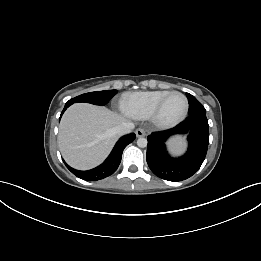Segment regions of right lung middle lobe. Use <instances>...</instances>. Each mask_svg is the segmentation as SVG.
<instances>
[{"label":"right lung middle lobe","instance_id":"dd1d6c3e","mask_svg":"<svg viewBox=\"0 0 261 261\" xmlns=\"http://www.w3.org/2000/svg\"><path fill=\"white\" fill-rule=\"evenodd\" d=\"M116 93L117 90H104V91L85 93L73 99H70L66 104L71 105L77 102H86L95 105H105Z\"/></svg>","mask_w":261,"mask_h":261}]
</instances>
